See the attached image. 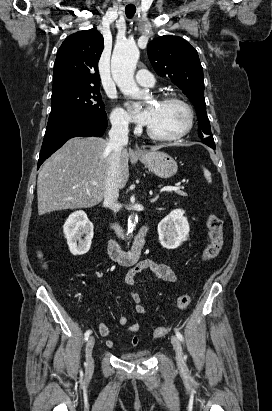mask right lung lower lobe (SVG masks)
Returning <instances> with one entry per match:
<instances>
[{
    "label": "right lung lower lobe",
    "instance_id": "right-lung-lower-lobe-1",
    "mask_svg": "<svg viewBox=\"0 0 272 411\" xmlns=\"http://www.w3.org/2000/svg\"><path fill=\"white\" fill-rule=\"evenodd\" d=\"M107 124L106 118L79 117L57 126L46 128L37 168L68 139L73 137L102 136Z\"/></svg>",
    "mask_w": 272,
    "mask_h": 411
}]
</instances>
